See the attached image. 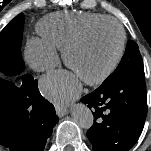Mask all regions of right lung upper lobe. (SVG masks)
<instances>
[{"label": "right lung upper lobe", "mask_w": 151, "mask_h": 151, "mask_svg": "<svg viewBox=\"0 0 151 151\" xmlns=\"http://www.w3.org/2000/svg\"><path fill=\"white\" fill-rule=\"evenodd\" d=\"M8 128V120L6 114L0 110V134L6 132Z\"/></svg>", "instance_id": "1"}]
</instances>
